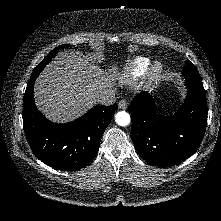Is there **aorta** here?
I'll use <instances>...</instances> for the list:
<instances>
[{
	"label": "aorta",
	"mask_w": 221,
	"mask_h": 221,
	"mask_svg": "<svg viewBox=\"0 0 221 221\" xmlns=\"http://www.w3.org/2000/svg\"><path fill=\"white\" fill-rule=\"evenodd\" d=\"M115 121L118 125L125 127L130 124V115L125 111H119L115 115Z\"/></svg>",
	"instance_id": "762f6f07"
}]
</instances>
